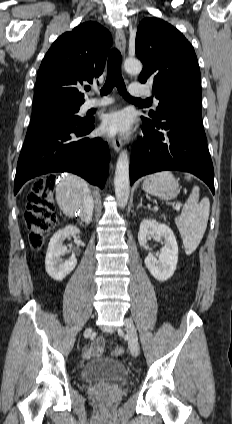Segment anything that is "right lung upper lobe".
<instances>
[{
  "instance_id": "1",
  "label": "right lung upper lobe",
  "mask_w": 232,
  "mask_h": 424,
  "mask_svg": "<svg viewBox=\"0 0 232 424\" xmlns=\"http://www.w3.org/2000/svg\"><path fill=\"white\" fill-rule=\"evenodd\" d=\"M111 43L109 31L92 21L62 34L40 65L33 108L81 105L85 101L80 91L82 85L92 83L102 74Z\"/></svg>"
}]
</instances>
